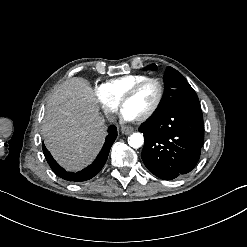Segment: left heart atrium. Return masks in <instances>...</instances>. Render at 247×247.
Listing matches in <instances>:
<instances>
[{"label":"left heart atrium","mask_w":247,"mask_h":247,"mask_svg":"<svg viewBox=\"0 0 247 247\" xmlns=\"http://www.w3.org/2000/svg\"><path fill=\"white\" fill-rule=\"evenodd\" d=\"M121 117L124 121L130 122L136 120L137 115L130 109L124 108L121 112Z\"/></svg>","instance_id":"left-heart-atrium-1"}]
</instances>
